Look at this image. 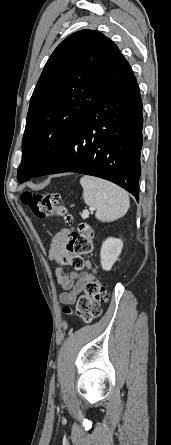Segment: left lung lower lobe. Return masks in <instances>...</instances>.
Returning <instances> with one entry per match:
<instances>
[{"mask_svg": "<svg viewBox=\"0 0 171 445\" xmlns=\"http://www.w3.org/2000/svg\"><path fill=\"white\" fill-rule=\"evenodd\" d=\"M142 101L135 76L110 89L75 123L32 177L76 172L109 180L139 199Z\"/></svg>", "mask_w": 171, "mask_h": 445, "instance_id": "left-lung-lower-lobe-1", "label": "left lung lower lobe"}]
</instances>
